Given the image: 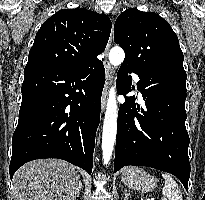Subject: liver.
<instances>
[{
	"label": "liver",
	"instance_id": "1",
	"mask_svg": "<svg viewBox=\"0 0 205 200\" xmlns=\"http://www.w3.org/2000/svg\"><path fill=\"white\" fill-rule=\"evenodd\" d=\"M79 180L76 168L66 161H30L14 174V200H74Z\"/></svg>",
	"mask_w": 205,
	"mask_h": 200
}]
</instances>
